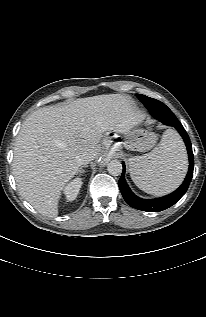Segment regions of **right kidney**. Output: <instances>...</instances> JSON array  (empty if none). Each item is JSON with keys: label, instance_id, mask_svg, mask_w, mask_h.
Here are the masks:
<instances>
[{"label": "right kidney", "instance_id": "ca27d5eb", "mask_svg": "<svg viewBox=\"0 0 206 317\" xmlns=\"http://www.w3.org/2000/svg\"><path fill=\"white\" fill-rule=\"evenodd\" d=\"M82 186V179L76 178L68 183L64 188V194L68 201H73L79 194L80 188Z\"/></svg>", "mask_w": 206, "mask_h": 317}]
</instances>
